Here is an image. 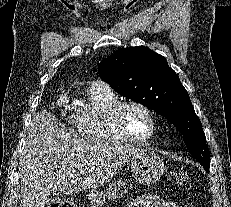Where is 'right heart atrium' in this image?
Listing matches in <instances>:
<instances>
[{
	"label": "right heart atrium",
	"mask_w": 231,
	"mask_h": 207,
	"mask_svg": "<svg viewBox=\"0 0 231 207\" xmlns=\"http://www.w3.org/2000/svg\"><path fill=\"white\" fill-rule=\"evenodd\" d=\"M55 104L62 118L73 120V117L68 114L69 98L65 94H60L55 99Z\"/></svg>",
	"instance_id": "1"
}]
</instances>
